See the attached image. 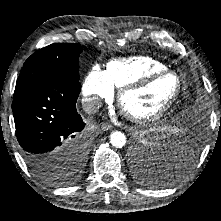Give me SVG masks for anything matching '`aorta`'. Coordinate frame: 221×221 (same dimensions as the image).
<instances>
[{
    "mask_svg": "<svg viewBox=\"0 0 221 221\" xmlns=\"http://www.w3.org/2000/svg\"><path fill=\"white\" fill-rule=\"evenodd\" d=\"M110 143L116 148H122L126 144V136L120 131H114L110 134Z\"/></svg>",
    "mask_w": 221,
    "mask_h": 221,
    "instance_id": "762f6f07",
    "label": "aorta"
}]
</instances>
